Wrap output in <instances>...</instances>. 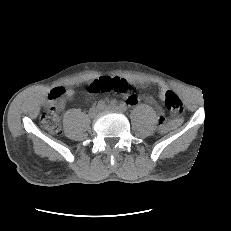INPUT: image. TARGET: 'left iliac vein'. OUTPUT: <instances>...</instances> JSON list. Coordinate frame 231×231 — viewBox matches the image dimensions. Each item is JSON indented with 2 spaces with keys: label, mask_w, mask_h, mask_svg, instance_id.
<instances>
[{
  "label": "left iliac vein",
  "mask_w": 231,
  "mask_h": 231,
  "mask_svg": "<svg viewBox=\"0 0 231 231\" xmlns=\"http://www.w3.org/2000/svg\"><path fill=\"white\" fill-rule=\"evenodd\" d=\"M102 110L103 111H122L121 108L116 105H107Z\"/></svg>",
  "instance_id": "obj_1"
}]
</instances>
